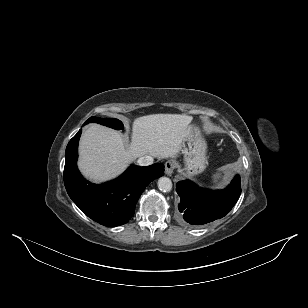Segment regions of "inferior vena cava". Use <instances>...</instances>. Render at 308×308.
Returning <instances> with one entry per match:
<instances>
[{
    "mask_svg": "<svg viewBox=\"0 0 308 308\" xmlns=\"http://www.w3.org/2000/svg\"><path fill=\"white\" fill-rule=\"evenodd\" d=\"M138 165L140 166H148L153 164V157L146 155L142 156L137 160Z\"/></svg>",
    "mask_w": 308,
    "mask_h": 308,
    "instance_id": "inferior-vena-cava-1",
    "label": "inferior vena cava"
}]
</instances>
